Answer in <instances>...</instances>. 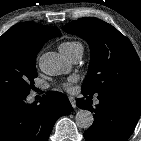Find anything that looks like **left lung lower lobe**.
Segmentation results:
<instances>
[{
  "instance_id": "obj_1",
  "label": "left lung lower lobe",
  "mask_w": 141,
  "mask_h": 141,
  "mask_svg": "<svg viewBox=\"0 0 141 141\" xmlns=\"http://www.w3.org/2000/svg\"><path fill=\"white\" fill-rule=\"evenodd\" d=\"M98 99L96 108L89 100H77L78 107L95 113L92 126L84 132L86 141H127L141 114V93L106 91L98 93Z\"/></svg>"
}]
</instances>
